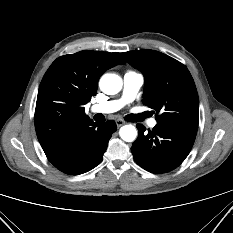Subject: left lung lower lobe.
I'll return each instance as SVG.
<instances>
[{"mask_svg":"<svg viewBox=\"0 0 233 233\" xmlns=\"http://www.w3.org/2000/svg\"><path fill=\"white\" fill-rule=\"evenodd\" d=\"M139 134L131 147L136 163L143 169L159 174L177 168L188 156L197 129L156 124L152 130L137 125Z\"/></svg>","mask_w":233,"mask_h":233,"instance_id":"obj_1","label":"left lung lower lobe"}]
</instances>
